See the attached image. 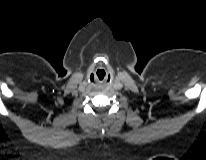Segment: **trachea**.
I'll return each mask as SVG.
<instances>
[{"mask_svg":"<svg viewBox=\"0 0 206 160\" xmlns=\"http://www.w3.org/2000/svg\"><path fill=\"white\" fill-rule=\"evenodd\" d=\"M97 76H98V79H99L100 81H102V80L104 79L105 72H98V71H97Z\"/></svg>","mask_w":206,"mask_h":160,"instance_id":"obj_1","label":"trachea"}]
</instances>
